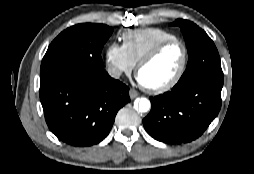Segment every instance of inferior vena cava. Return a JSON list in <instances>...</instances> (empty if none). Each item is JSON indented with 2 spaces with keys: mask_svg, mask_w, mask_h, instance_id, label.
Here are the masks:
<instances>
[{
  "mask_svg": "<svg viewBox=\"0 0 254 174\" xmlns=\"http://www.w3.org/2000/svg\"><path fill=\"white\" fill-rule=\"evenodd\" d=\"M108 73L113 78H119L121 76V74H122L121 70H119L117 68H110L108 70Z\"/></svg>",
  "mask_w": 254,
  "mask_h": 174,
  "instance_id": "1",
  "label": "inferior vena cava"
}]
</instances>
